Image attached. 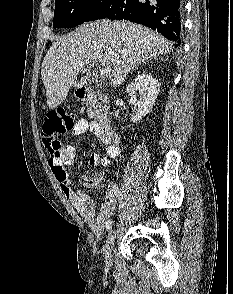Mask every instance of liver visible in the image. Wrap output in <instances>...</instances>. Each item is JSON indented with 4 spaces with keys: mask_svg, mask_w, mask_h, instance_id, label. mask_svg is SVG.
I'll list each match as a JSON object with an SVG mask.
<instances>
[{
    "mask_svg": "<svg viewBox=\"0 0 233 294\" xmlns=\"http://www.w3.org/2000/svg\"><path fill=\"white\" fill-rule=\"evenodd\" d=\"M170 52L161 35L138 24L110 20L83 24L74 33L57 39L44 57L41 78L47 105L56 108L72 87L80 89L87 84L89 69L77 81L75 66L80 62L87 68L98 63L110 67V83L117 87L141 63Z\"/></svg>",
    "mask_w": 233,
    "mask_h": 294,
    "instance_id": "1",
    "label": "liver"
}]
</instances>
